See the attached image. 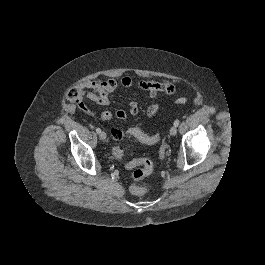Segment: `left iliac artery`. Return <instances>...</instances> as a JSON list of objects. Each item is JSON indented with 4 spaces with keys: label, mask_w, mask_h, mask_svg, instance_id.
Here are the masks:
<instances>
[{
    "label": "left iliac artery",
    "mask_w": 265,
    "mask_h": 265,
    "mask_svg": "<svg viewBox=\"0 0 265 265\" xmlns=\"http://www.w3.org/2000/svg\"><path fill=\"white\" fill-rule=\"evenodd\" d=\"M179 123H180V120L179 119H176L175 121H174V126H178L179 125Z\"/></svg>",
    "instance_id": "44dca946"
}]
</instances>
